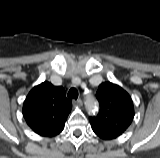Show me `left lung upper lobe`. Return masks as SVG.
Returning a JSON list of instances; mask_svg holds the SVG:
<instances>
[{"instance_id": "obj_1", "label": "left lung upper lobe", "mask_w": 160, "mask_h": 158, "mask_svg": "<svg viewBox=\"0 0 160 158\" xmlns=\"http://www.w3.org/2000/svg\"><path fill=\"white\" fill-rule=\"evenodd\" d=\"M96 97L100 111L96 117H90L91 125L120 136L134 118V107L130 95L120 86L111 82L99 85Z\"/></svg>"}]
</instances>
